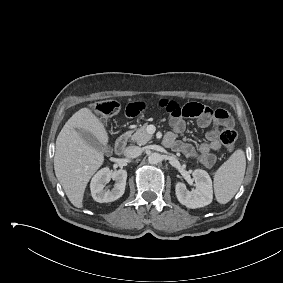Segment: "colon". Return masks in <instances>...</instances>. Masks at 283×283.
Returning a JSON list of instances; mask_svg holds the SVG:
<instances>
[{
	"label": "colon",
	"mask_w": 283,
	"mask_h": 283,
	"mask_svg": "<svg viewBox=\"0 0 283 283\" xmlns=\"http://www.w3.org/2000/svg\"><path fill=\"white\" fill-rule=\"evenodd\" d=\"M120 104L115 100H105L96 102L92 106V111L102 120L117 115L120 112ZM219 140L230 152L236 148L237 133L232 128L223 129L219 134Z\"/></svg>",
	"instance_id": "colon-1"
}]
</instances>
